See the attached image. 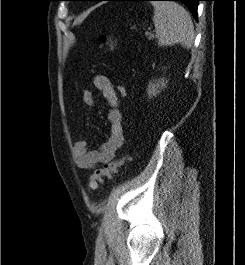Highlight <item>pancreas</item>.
Returning a JSON list of instances; mask_svg holds the SVG:
<instances>
[{"mask_svg":"<svg viewBox=\"0 0 245 265\" xmlns=\"http://www.w3.org/2000/svg\"><path fill=\"white\" fill-rule=\"evenodd\" d=\"M148 36H149V37H148V39H149V40L153 38V36H152V35H148Z\"/></svg>","mask_w":245,"mask_h":265,"instance_id":"cf45deb5","label":"pancreas"}]
</instances>
